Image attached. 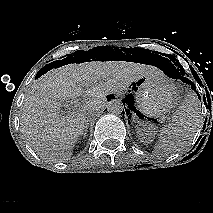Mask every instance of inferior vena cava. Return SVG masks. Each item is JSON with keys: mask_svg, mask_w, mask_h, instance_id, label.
Here are the masks:
<instances>
[{"mask_svg": "<svg viewBox=\"0 0 213 213\" xmlns=\"http://www.w3.org/2000/svg\"><path fill=\"white\" fill-rule=\"evenodd\" d=\"M95 112H96L95 109L89 110L85 115V121L86 122L91 121L93 119Z\"/></svg>", "mask_w": 213, "mask_h": 213, "instance_id": "inferior-vena-cava-1", "label": "inferior vena cava"}]
</instances>
